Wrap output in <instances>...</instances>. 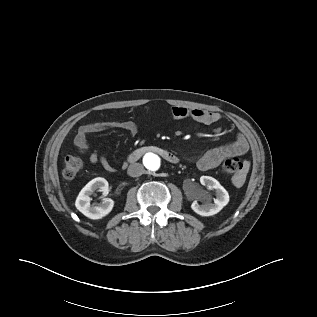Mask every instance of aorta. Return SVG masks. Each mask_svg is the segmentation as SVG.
I'll return each instance as SVG.
<instances>
[{
	"instance_id": "aorta-1",
	"label": "aorta",
	"mask_w": 317,
	"mask_h": 317,
	"mask_svg": "<svg viewBox=\"0 0 317 317\" xmlns=\"http://www.w3.org/2000/svg\"><path fill=\"white\" fill-rule=\"evenodd\" d=\"M145 167L149 170L155 171L160 167V159L155 154H146L143 158Z\"/></svg>"
}]
</instances>
